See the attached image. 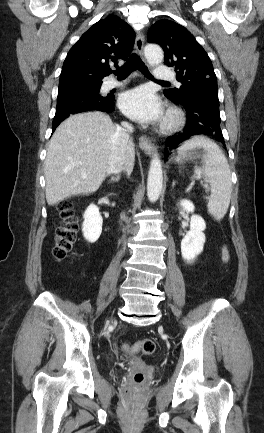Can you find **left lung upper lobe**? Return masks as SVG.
Wrapping results in <instances>:
<instances>
[{
  "label": "left lung upper lobe",
  "instance_id": "left-lung-upper-lobe-1",
  "mask_svg": "<svg viewBox=\"0 0 264 433\" xmlns=\"http://www.w3.org/2000/svg\"><path fill=\"white\" fill-rule=\"evenodd\" d=\"M148 41L161 45L165 64L175 67L176 78L182 84L179 89L165 90L168 98L183 100L195 94L218 98L212 62L185 27L170 20H159L149 29Z\"/></svg>",
  "mask_w": 264,
  "mask_h": 433
}]
</instances>
